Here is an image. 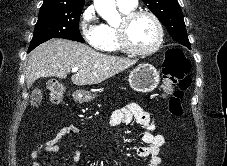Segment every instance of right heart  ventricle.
<instances>
[{
  "mask_svg": "<svg viewBox=\"0 0 227 166\" xmlns=\"http://www.w3.org/2000/svg\"><path fill=\"white\" fill-rule=\"evenodd\" d=\"M118 8L122 14L129 13L134 9V8L128 9L120 5H118ZM103 30L104 41L100 49L107 52H116L122 50L117 40L116 26L106 23L103 24Z\"/></svg>",
  "mask_w": 227,
  "mask_h": 166,
  "instance_id": "e07e8e85",
  "label": "right heart ventricle"
}]
</instances>
